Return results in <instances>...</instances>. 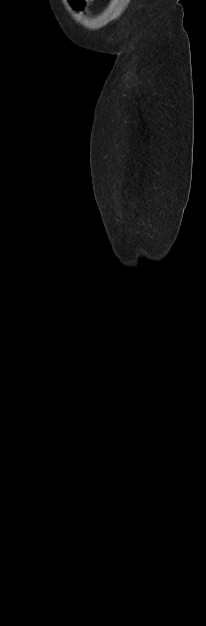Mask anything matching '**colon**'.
I'll return each instance as SVG.
<instances>
[{
  "label": "colon",
  "mask_w": 206,
  "mask_h": 626,
  "mask_svg": "<svg viewBox=\"0 0 206 626\" xmlns=\"http://www.w3.org/2000/svg\"><path fill=\"white\" fill-rule=\"evenodd\" d=\"M92 0H70L71 5L77 10H83Z\"/></svg>",
  "instance_id": "obj_1"
}]
</instances>
